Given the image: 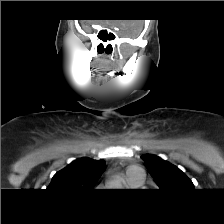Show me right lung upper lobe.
Listing matches in <instances>:
<instances>
[{
  "instance_id": "right-lung-upper-lobe-1",
  "label": "right lung upper lobe",
  "mask_w": 224,
  "mask_h": 224,
  "mask_svg": "<svg viewBox=\"0 0 224 224\" xmlns=\"http://www.w3.org/2000/svg\"><path fill=\"white\" fill-rule=\"evenodd\" d=\"M104 167V160L76 159L53 176L48 188L59 192L93 190Z\"/></svg>"
}]
</instances>
